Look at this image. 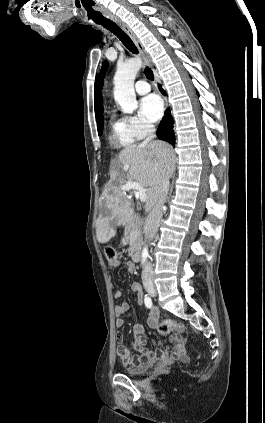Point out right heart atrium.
<instances>
[{
    "label": "right heart atrium",
    "mask_w": 265,
    "mask_h": 423,
    "mask_svg": "<svg viewBox=\"0 0 265 423\" xmlns=\"http://www.w3.org/2000/svg\"><path fill=\"white\" fill-rule=\"evenodd\" d=\"M123 122L130 137L134 141L147 137L154 130L153 124L140 116H125Z\"/></svg>",
    "instance_id": "1"
}]
</instances>
